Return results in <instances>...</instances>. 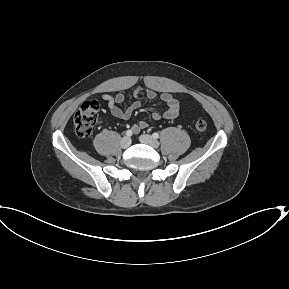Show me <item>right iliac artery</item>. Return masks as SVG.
<instances>
[{"label": "right iliac artery", "instance_id": "obj_1", "mask_svg": "<svg viewBox=\"0 0 289 289\" xmlns=\"http://www.w3.org/2000/svg\"><path fill=\"white\" fill-rule=\"evenodd\" d=\"M132 134H133L132 130H127L126 131V136L130 137V136H132Z\"/></svg>", "mask_w": 289, "mask_h": 289}]
</instances>
